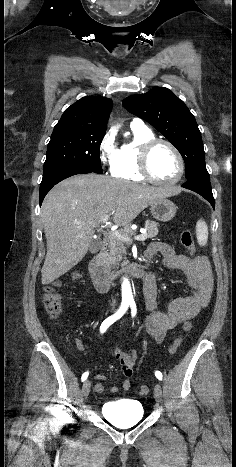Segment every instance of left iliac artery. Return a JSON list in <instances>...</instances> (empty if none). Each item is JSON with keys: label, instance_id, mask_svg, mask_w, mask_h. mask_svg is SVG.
Instances as JSON below:
<instances>
[{"label": "left iliac artery", "instance_id": "44dca946", "mask_svg": "<svg viewBox=\"0 0 236 467\" xmlns=\"http://www.w3.org/2000/svg\"><path fill=\"white\" fill-rule=\"evenodd\" d=\"M130 307H131V315L132 317H135L137 313V308L135 302H130ZM155 376L157 379L162 380V373L160 371L155 372Z\"/></svg>", "mask_w": 236, "mask_h": 467}]
</instances>
